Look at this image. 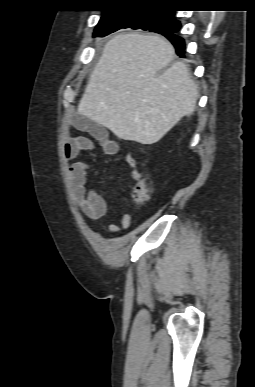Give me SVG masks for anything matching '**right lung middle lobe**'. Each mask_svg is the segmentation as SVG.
Segmentation results:
<instances>
[{
	"mask_svg": "<svg viewBox=\"0 0 255 387\" xmlns=\"http://www.w3.org/2000/svg\"><path fill=\"white\" fill-rule=\"evenodd\" d=\"M181 24L174 18V11L159 9L155 11H128L121 13H103L94 32L95 37H104L121 28L150 30L163 33L177 31Z\"/></svg>",
	"mask_w": 255,
	"mask_h": 387,
	"instance_id": "1",
	"label": "right lung middle lobe"
}]
</instances>
